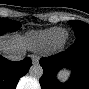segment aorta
Instances as JSON below:
<instances>
[{"instance_id":"aorta-1","label":"aorta","mask_w":89,"mask_h":89,"mask_svg":"<svg viewBox=\"0 0 89 89\" xmlns=\"http://www.w3.org/2000/svg\"><path fill=\"white\" fill-rule=\"evenodd\" d=\"M32 78L39 79L43 75V68L39 64H34L29 69Z\"/></svg>"}]
</instances>
